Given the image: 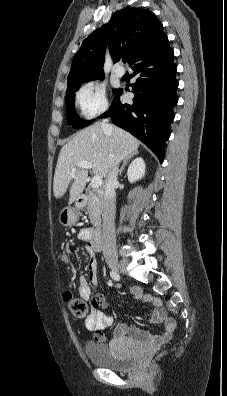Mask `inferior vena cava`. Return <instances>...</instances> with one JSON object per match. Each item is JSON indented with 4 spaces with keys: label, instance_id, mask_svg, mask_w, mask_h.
<instances>
[{
    "label": "inferior vena cava",
    "instance_id": "obj_1",
    "mask_svg": "<svg viewBox=\"0 0 227 396\" xmlns=\"http://www.w3.org/2000/svg\"><path fill=\"white\" fill-rule=\"evenodd\" d=\"M102 130L111 134L112 126L108 123V119L101 122ZM118 165L115 166L105 179V191L103 197V228H102V249L103 254L107 257L116 255V237H115V209H116V193L115 187L118 184Z\"/></svg>",
    "mask_w": 227,
    "mask_h": 396
}]
</instances>
